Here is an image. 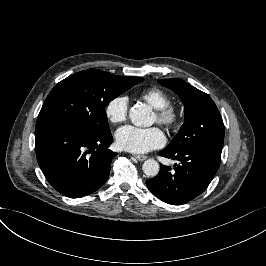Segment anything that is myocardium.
I'll list each match as a JSON object with an SVG mask.
<instances>
[{"label":"myocardium","instance_id":"1","mask_svg":"<svg viewBox=\"0 0 266 266\" xmlns=\"http://www.w3.org/2000/svg\"><path fill=\"white\" fill-rule=\"evenodd\" d=\"M157 121L166 128L178 126L182 119V112L179 107L169 104L156 109Z\"/></svg>","mask_w":266,"mask_h":266}]
</instances>
